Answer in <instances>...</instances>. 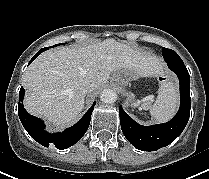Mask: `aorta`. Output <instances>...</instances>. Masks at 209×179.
I'll use <instances>...</instances> for the list:
<instances>
[{
  "label": "aorta",
  "instance_id": "aorta-1",
  "mask_svg": "<svg viewBox=\"0 0 209 179\" xmlns=\"http://www.w3.org/2000/svg\"><path fill=\"white\" fill-rule=\"evenodd\" d=\"M100 99L104 103H114L117 100V93L112 89H105L102 91Z\"/></svg>",
  "mask_w": 209,
  "mask_h": 179
}]
</instances>
